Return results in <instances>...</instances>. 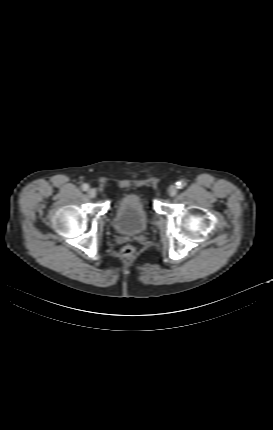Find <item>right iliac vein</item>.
Instances as JSON below:
<instances>
[{"label": "right iliac vein", "mask_w": 273, "mask_h": 430, "mask_svg": "<svg viewBox=\"0 0 273 430\" xmlns=\"http://www.w3.org/2000/svg\"><path fill=\"white\" fill-rule=\"evenodd\" d=\"M87 194L90 198H94L96 196V190L94 188H90L88 189Z\"/></svg>", "instance_id": "obj_1"}]
</instances>
